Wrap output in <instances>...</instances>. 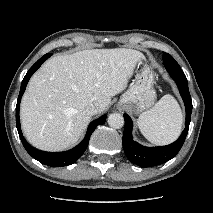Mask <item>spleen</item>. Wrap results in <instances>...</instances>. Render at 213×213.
<instances>
[{
    "mask_svg": "<svg viewBox=\"0 0 213 213\" xmlns=\"http://www.w3.org/2000/svg\"><path fill=\"white\" fill-rule=\"evenodd\" d=\"M138 127L143 136L153 144H168L180 134L183 114L171 95L163 96L155 106L138 118Z\"/></svg>",
    "mask_w": 213,
    "mask_h": 213,
    "instance_id": "3e777b00",
    "label": "spleen"
}]
</instances>
